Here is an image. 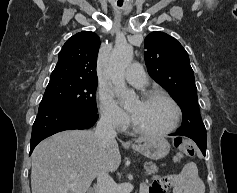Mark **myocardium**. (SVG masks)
Here are the masks:
<instances>
[{
  "instance_id": "f54148a6",
  "label": "myocardium",
  "mask_w": 237,
  "mask_h": 193,
  "mask_svg": "<svg viewBox=\"0 0 237 193\" xmlns=\"http://www.w3.org/2000/svg\"><path fill=\"white\" fill-rule=\"evenodd\" d=\"M156 98H163L165 100H167L173 107L174 109V120L172 122V124L163 130H159V131H150V130H146L143 129L139 126H137L133 120L132 117L130 116V125L132 127V129L141 135L144 136H149V137H158V136H165L168 135L170 133H172L173 131H175L177 129V127L180 124L181 121V116H182V112H181V108L179 106V104L174 100V98H172L169 94L165 93V92H161V91H154V92H148L145 93L142 97H141V101L143 102H147Z\"/></svg>"
}]
</instances>
